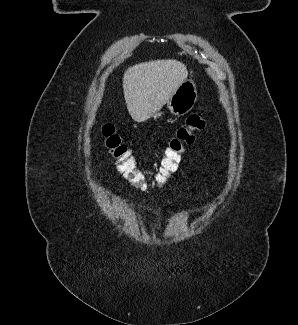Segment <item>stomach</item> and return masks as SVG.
<instances>
[{
	"label": "stomach",
	"instance_id": "1",
	"mask_svg": "<svg viewBox=\"0 0 298 325\" xmlns=\"http://www.w3.org/2000/svg\"><path fill=\"white\" fill-rule=\"evenodd\" d=\"M197 98L198 92L194 80H192V78H186V80L178 86L174 94H171L166 108L170 110L171 114L182 116V114H187L189 110H192L194 104L197 102ZM162 114V110H158V112L152 114V118H154V120H161Z\"/></svg>",
	"mask_w": 298,
	"mask_h": 325
}]
</instances>
